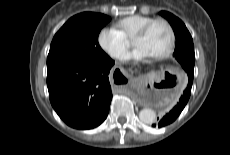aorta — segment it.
<instances>
[{
	"instance_id": "aorta-1",
	"label": "aorta",
	"mask_w": 230,
	"mask_h": 155,
	"mask_svg": "<svg viewBox=\"0 0 230 155\" xmlns=\"http://www.w3.org/2000/svg\"><path fill=\"white\" fill-rule=\"evenodd\" d=\"M139 119L144 124H153L156 121V113L153 109L144 108L139 113Z\"/></svg>"
}]
</instances>
